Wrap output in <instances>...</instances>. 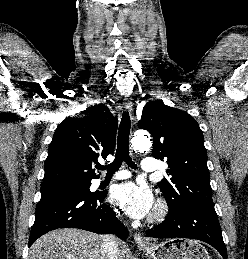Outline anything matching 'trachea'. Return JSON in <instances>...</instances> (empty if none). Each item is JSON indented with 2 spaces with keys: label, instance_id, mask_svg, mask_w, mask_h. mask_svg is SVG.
Segmentation results:
<instances>
[{
  "label": "trachea",
  "instance_id": "trachea-1",
  "mask_svg": "<svg viewBox=\"0 0 248 259\" xmlns=\"http://www.w3.org/2000/svg\"><path fill=\"white\" fill-rule=\"evenodd\" d=\"M131 128V120L128 112H124L118 131L117 151L114 161L106 166H99V170H107L108 175L114 174L125 162L129 167L136 169V165L129 155V134Z\"/></svg>",
  "mask_w": 248,
  "mask_h": 259
}]
</instances>
